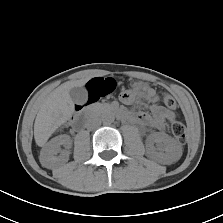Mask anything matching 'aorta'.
<instances>
[{
	"mask_svg": "<svg viewBox=\"0 0 223 223\" xmlns=\"http://www.w3.org/2000/svg\"><path fill=\"white\" fill-rule=\"evenodd\" d=\"M101 119H102V122L106 125H109L111 123L114 122L115 120V117L112 113H104L102 116H101Z\"/></svg>",
	"mask_w": 223,
	"mask_h": 223,
	"instance_id": "aorta-1",
	"label": "aorta"
}]
</instances>
